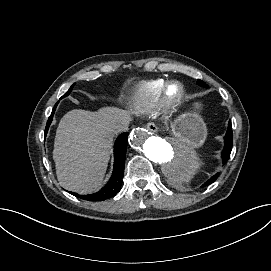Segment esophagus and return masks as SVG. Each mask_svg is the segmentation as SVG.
I'll return each mask as SVG.
<instances>
[{
    "label": "esophagus",
    "mask_w": 271,
    "mask_h": 271,
    "mask_svg": "<svg viewBox=\"0 0 271 271\" xmlns=\"http://www.w3.org/2000/svg\"><path fill=\"white\" fill-rule=\"evenodd\" d=\"M146 128L152 133H156L158 131V127L153 122H149L148 124H146Z\"/></svg>",
    "instance_id": "esophagus-1"
}]
</instances>
